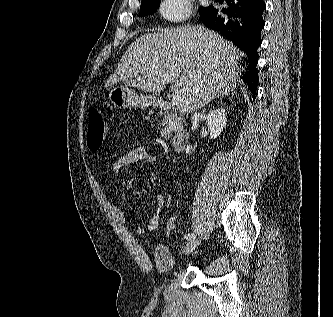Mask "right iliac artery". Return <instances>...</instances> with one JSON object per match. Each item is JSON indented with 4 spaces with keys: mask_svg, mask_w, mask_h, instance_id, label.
<instances>
[{
    "mask_svg": "<svg viewBox=\"0 0 333 317\" xmlns=\"http://www.w3.org/2000/svg\"><path fill=\"white\" fill-rule=\"evenodd\" d=\"M184 238H186L187 240L191 241V240H194L196 239L195 235L192 234V233H188L184 236Z\"/></svg>",
    "mask_w": 333,
    "mask_h": 317,
    "instance_id": "1",
    "label": "right iliac artery"
}]
</instances>
